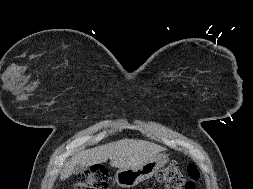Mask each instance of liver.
<instances>
[{"mask_svg": "<svg viewBox=\"0 0 253 189\" xmlns=\"http://www.w3.org/2000/svg\"><path fill=\"white\" fill-rule=\"evenodd\" d=\"M164 148L152 142L138 139H121L92 149L82 150L65 162L60 179L69 178L76 165L89 167L111 160V165L119 169L135 168L149 161Z\"/></svg>", "mask_w": 253, "mask_h": 189, "instance_id": "6515ba94", "label": "liver"}]
</instances>
